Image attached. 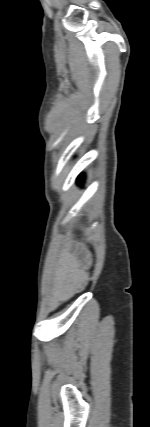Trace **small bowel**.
<instances>
[{
  "label": "small bowel",
  "mask_w": 150,
  "mask_h": 427,
  "mask_svg": "<svg viewBox=\"0 0 150 427\" xmlns=\"http://www.w3.org/2000/svg\"><path fill=\"white\" fill-rule=\"evenodd\" d=\"M76 287V281L72 279H63L57 285L55 291L56 301L65 300L68 298Z\"/></svg>",
  "instance_id": "c3829d8e"
}]
</instances>
